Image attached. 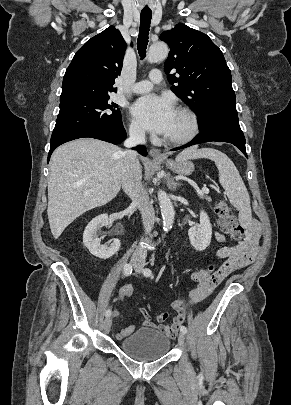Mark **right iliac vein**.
Masks as SVG:
<instances>
[{
	"label": "right iliac vein",
	"instance_id": "obj_1",
	"mask_svg": "<svg viewBox=\"0 0 291 405\" xmlns=\"http://www.w3.org/2000/svg\"><path fill=\"white\" fill-rule=\"evenodd\" d=\"M131 264L134 266V268H136V267L139 266V264H138V262H137L136 260H132V261H131ZM111 323H112V322H111L110 317H107V318L104 320L103 326H104L105 332H109V331H110V329H111Z\"/></svg>",
	"mask_w": 291,
	"mask_h": 405
}]
</instances>
